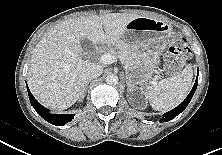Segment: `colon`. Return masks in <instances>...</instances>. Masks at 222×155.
Wrapping results in <instances>:
<instances>
[{
  "mask_svg": "<svg viewBox=\"0 0 222 155\" xmlns=\"http://www.w3.org/2000/svg\"><path fill=\"white\" fill-rule=\"evenodd\" d=\"M191 57V50L182 36L174 37L165 55L164 69L167 73L175 74L181 70L184 63Z\"/></svg>",
  "mask_w": 222,
  "mask_h": 155,
  "instance_id": "5ec220e1",
  "label": "colon"
}]
</instances>
